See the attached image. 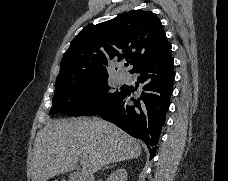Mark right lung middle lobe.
Segmentation results:
<instances>
[{"label":"right lung middle lobe","instance_id":"right-lung-middle-lobe-1","mask_svg":"<svg viewBox=\"0 0 228 181\" xmlns=\"http://www.w3.org/2000/svg\"><path fill=\"white\" fill-rule=\"evenodd\" d=\"M108 76L56 85L50 113L71 116H93L104 111L123 94L112 92Z\"/></svg>","mask_w":228,"mask_h":181}]
</instances>
